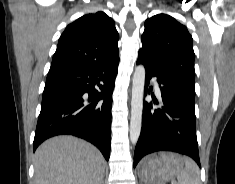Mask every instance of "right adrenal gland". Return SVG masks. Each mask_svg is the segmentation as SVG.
I'll return each instance as SVG.
<instances>
[{"label": "right adrenal gland", "instance_id": "2a0ac1e0", "mask_svg": "<svg viewBox=\"0 0 235 184\" xmlns=\"http://www.w3.org/2000/svg\"><path fill=\"white\" fill-rule=\"evenodd\" d=\"M101 184H104L103 180H102Z\"/></svg>", "mask_w": 235, "mask_h": 184}]
</instances>
